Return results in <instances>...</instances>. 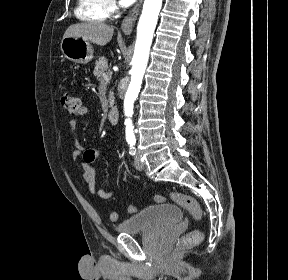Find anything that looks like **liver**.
I'll return each instance as SVG.
<instances>
[{"label": "liver", "mask_w": 288, "mask_h": 280, "mask_svg": "<svg viewBox=\"0 0 288 280\" xmlns=\"http://www.w3.org/2000/svg\"><path fill=\"white\" fill-rule=\"evenodd\" d=\"M114 28L100 22L78 23L71 25L65 31V37L82 38L94 44L104 46L112 39Z\"/></svg>", "instance_id": "liver-1"}]
</instances>
